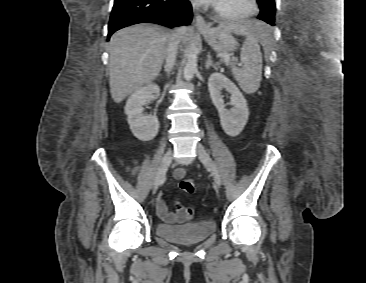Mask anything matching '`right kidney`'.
Segmentation results:
<instances>
[{
  "mask_svg": "<svg viewBox=\"0 0 366 283\" xmlns=\"http://www.w3.org/2000/svg\"><path fill=\"white\" fill-rule=\"evenodd\" d=\"M160 95L157 84L150 83L137 89L128 98L125 105L127 121L134 136L141 141H150L158 133L159 122L157 116L144 115L143 106Z\"/></svg>",
  "mask_w": 366,
  "mask_h": 283,
  "instance_id": "right-kidney-1",
  "label": "right kidney"
}]
</instances>
